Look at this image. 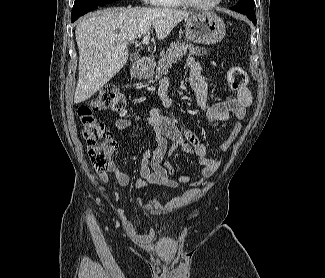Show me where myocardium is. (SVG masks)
<instances>
[{
    "mask_svg": "<svg viewBox=\"0 0 325 278\" xmlns=\"http://www.w3.org/2000/svg\"><path fill=\"white\" fill-rule=\"evenodd\" d=\"M179 1L181 2V4L190 8H194L198 10H209L216 7L222 0H213L212 2L207 4L196 3L193 0H179Z\"/></svg>",
    "mask_w": 325,
    "mask_h": 278,
    "instance_id": "f54148a6",
    "label": "myocardium"
}]
</instances>
